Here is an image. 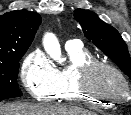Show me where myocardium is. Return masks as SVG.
<instances>
[{
  "instance_id": "myocardium-1",
  "label": "myocardium",
  "mask_w": 131,
  "mask_h": 115,
  "mask_svg": "<svg viewBox=\"0 0 131 115\" xmlns=\"http://www.w3.org/2000/svg\"><path fill=\"white\" fill-rule=\"evenodd\" d=\"M101 69H105L114 73L122 81L125 87V96L114 97V96L106 95L97 91L93 87L92 84L93 76L98 70ZM76 88L79 92H81L85 96L91 97L93 99H98L100 101L107 102V103L120 102L130 94L129 83L125 78V76L122 74V72L112 64L100 60L91 61L79 68L77 72Z\"/></svg>"
}]
</instances>
